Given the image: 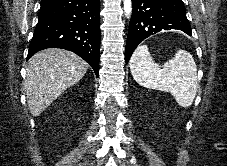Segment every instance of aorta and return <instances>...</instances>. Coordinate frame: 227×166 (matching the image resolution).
Instances as JSON below:
<instances>
[{
	"mask_svg": "<svg viewBox=\"0 0 227 166\" xmlns=\"http://www.w3.org/2000/svg\"><path fill=\"white\" fill-rule=\"evenodd\" d=\"M123 5H124L125 15L127 17H130V15L132 13V2H131V0H124Z\"/></svg>",
	"mask_w": 227,
	"mask_h": 166,
	"instance_id": "aorta-1",
	"label": "aorta"
}]
</instances>
